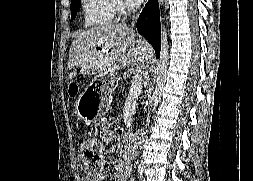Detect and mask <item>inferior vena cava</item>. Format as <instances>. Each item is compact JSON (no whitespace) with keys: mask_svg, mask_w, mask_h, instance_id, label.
Here are the masks:
<instances>
[{"mask_svg":"<svg viewBox=\"0 0 253 181\" xmlns=\"http://www.w3.org/2000/svg\"><path fill=\"white\" fill-rule=\"evenodd\" d=\"M130 11H134L132 8L131 9H129Z\"/></svg>","mask_w":253,"mask_h":181,"instance_id":"602c4592","label":"inferior vena cava"}]
</instances>
